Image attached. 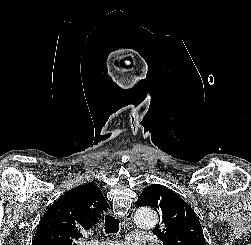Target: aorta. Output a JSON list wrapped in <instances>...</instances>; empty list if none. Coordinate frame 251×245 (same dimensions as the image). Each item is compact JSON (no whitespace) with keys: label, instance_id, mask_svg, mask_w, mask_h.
Here are the masks:
<instances>
[{"label":"aorta","instance_id":"aorta-1","mask_svg":"<svg viewBox=\"0 0 251 245\" xmlns=\"http://www.w3.org/2000/svg\"><path fill=\"white\" fill-rule=\"evenodd\" d=\"M158 217L150 207H141L136 211L135 222L140 228H152L156 225Z\"/></svg>","mask_w":251,"mask_h":245}]
</instances>
